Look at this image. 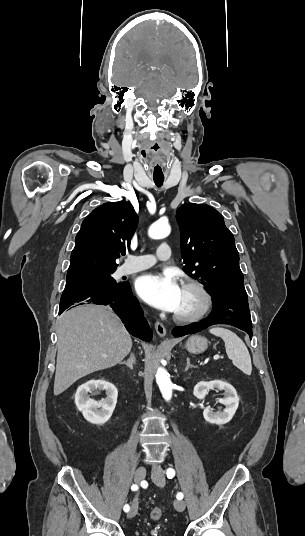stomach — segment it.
Segmentation results:
<instances>
[{
    "instance_id": "obj_1",
    "label": "stomach",
    "mask_w": 305,
    "mask_h": 536,
    "mask_svg": "<svg viewBox=\"0 0 305 536\" xmlns=\"http://www.w3.org/2000/svg\"><path fill=\"white\" fill-rule=\"evenodd\" d=\"M185 348L190 354H202L208 348V340L203 336H191L188 338Z\"/></svg>"
}]
</instances>
